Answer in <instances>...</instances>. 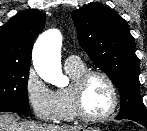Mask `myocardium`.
I'll list each match as a JSON object with an SVG mask.
<instances>
[{"mask_svg": "<svg viewBox=\"0 0 147 131\" xmlns=\"http://www.w3.org/2000/svg\"><path fill=\"white\" fill-rule=\"evenodd\" d=\"M94 76L101 77L106 81L112 95V102L110 108L108 109V111H106L101 115H91L87 113L83 103L84 87L87 81ZM71 95H72L74 110L77 117L86 122H100L108 119L114 114V112L116 111L119 105V93L115 82L107 73L101 70H86L83 73H81L71 83Z\"/></svg>", "mask_w": 147, "mask_h": 131, "instance_id": "obj_1", "label": "myocardium"}]
</instances>
